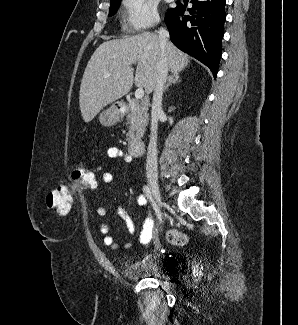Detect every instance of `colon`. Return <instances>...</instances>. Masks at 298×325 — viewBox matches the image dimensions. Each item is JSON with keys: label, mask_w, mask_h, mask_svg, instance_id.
I'll list each match as a JSON object with an SVG mask.
<instances>
[{"label": "colon", "mask_w": 298, "mask_h": 325, "mask_svg": "<svg viewBox=\"0 0 298 325\" xmlns=\"http://www.w3.org/2000/svg\"><path fill=\"white\" fill-rule=\"evenodd\" d=\"M72 183V186H59L50 191L45 199L46 206L56 210L59 215L67 214L71 209L73 190L95 188L97 180L94 171L80 162L72 172ZM166 237L174 245H183L187 242L186 235L174 229L169 230Z\"/></svg>", "instance_id": "obj_1"}]
</instances>
